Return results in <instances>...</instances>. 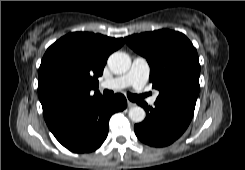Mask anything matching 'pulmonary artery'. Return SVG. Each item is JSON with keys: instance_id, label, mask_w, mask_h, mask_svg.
<instances>
[{"instance_id": "obj_1", "label": "pulmonary artery", "mask_w": 245, "mask_h": 170, "mask_svg": "<svg viewBox=\"0 0 245 170\" xmlns=\"http://www.w3.org/2000/svg\"><path fill=\"white\" fill-rule=\"evenodd\" d=\"M150 66L148 61L143 57H136L133 60L130 70L117 78L106 80L101 83V87L104 89H121L127 86H133L138 92H142V89L149 77ZM141 95H146L142 93ZM150 105H154L156 102V96L151 97L148 100Z\"/></svg>"}]
</instances>
